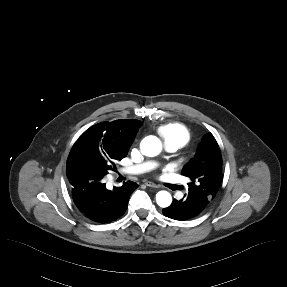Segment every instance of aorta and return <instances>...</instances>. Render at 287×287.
<instances>
[{
	"mask_svg": "<svg viewBox=\"0 0 287 287\" xmlns=\"http://www.w3.org/2000/svg\"><path fill=\"white\" fill-rule=\"evenodd\" d=\"M141 152L148 157L157 156L162 150V143L156 136H147L140 143ZM156 202L162 207H168L172 203V196L168 191L162 190L156 194Z\"/></svg>",
	"mask_w": 287,
	"mask_h": 287,
	"instance_id": "1",
	"label": "aorta"
}]
</instances>
